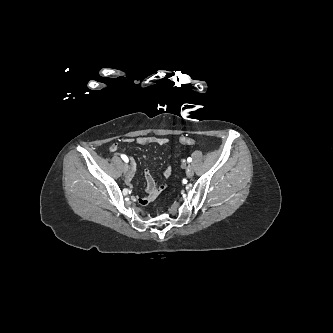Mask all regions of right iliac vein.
<instances>
[{
	"mask_svg": "<svg viewBox=\"0 0 333 333\" xmlns=\"http://www.w3.org/2000/svg\"><path fill=\"white\" fill-rule=\"evenodd\" d=\"M129 169V166L127 164H123V172L127 173Z\"/></svg>",
	"mask_w": 333,
	"mask_h": 333,
	"instance_id": "right-iliac-vein-1",
	"label": "right iliac vein"
}]
</instances>
